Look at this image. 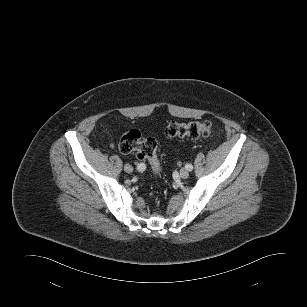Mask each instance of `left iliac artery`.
<instances>
[{"instance_id": "left-iliac-artery-1", "label": "left iliac artery", "mask_w": 307, "mask_h": 307, "mask_svg": "<svg viewBox=\"0 0 307 307\" xmlns=\"http://www.w3.org/2000/svg\"><path fill=\"white\" fill-rule=\"evenodd\" d=\"M185 168H186L188 171H192V170H193L192 164H186V165H185Z\"/></svg>"}]
</instances>
